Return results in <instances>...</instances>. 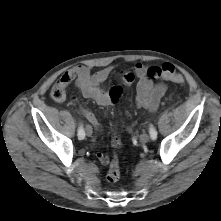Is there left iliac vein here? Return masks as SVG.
<instances>
[{
  "label": "left iliac vein",
  "instance_id": "4c4485c4",
  "mask_svg": "<svg viewBox=\"0 0 221 221\" xmlns=\"http://www.w3.org/2000/svg\"><path fill=\"white\" fill-rule=\"evenodd\" d=\"M149 140H150V136L146 133L140 136V142L142 143H147Z\"/></svg>",
  "mask_w": 221,
  "mask_h": 221
}]
</instances>
